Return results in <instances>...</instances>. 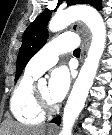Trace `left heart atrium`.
Wrapping results in <instances>:
<instances>
[{"instance_id":"39dd6f15","label":"left heart atrium","mask_w":112,"mask_h":135,"mask_svg":"<svg viewBox=\"0 0 112 135\" xmlns=\"http://www.w3.org/2000/svg\"><path fill=\"white\" fill-rule=\"evenodd\" d=\"M71 83V74L67 67L53 70L49 82V97L53 102L61 101L67 94Z\"/></svg>"}]
</instances>
